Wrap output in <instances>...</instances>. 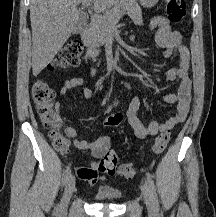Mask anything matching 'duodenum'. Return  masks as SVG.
<instances>
[{
  "label": "duodenum",
  "instance_id": "410a0bca",
  "mask_svg": "<svg viewBox=\"0 0 216 217\" xmlns=\"http://www.w3.org/2000/svg\"><path fill=\"white\" fill-rule=\"evenodd\" d=\"M88 34V27H84L82 30H81V37L82 38H85Z\"/></svg>",
  "mask_w": 216,
  "mask_h": 217
}]
</instances>
